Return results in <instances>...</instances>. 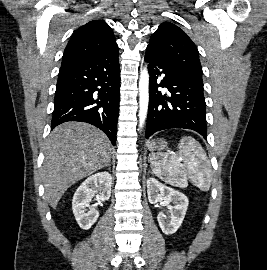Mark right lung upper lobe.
<instances>
[{
	"mask_svg": "<svg viewBox=\"0 0 267 270\" xmlns=\"http://www.w3.org/2000/svg\"><path fill=\"white\" fill-rule=\"evenodd\" d=\"M113 49H118L110 26L103 20H93L79 27L70 38L61 66L83 61Z\"/></svg>",
	"mask_w": 267,
	"mask_h": 270,
	"instance_id": "cb5924a9",
	"label": "right lung upper lobe"
}]
</instances>
